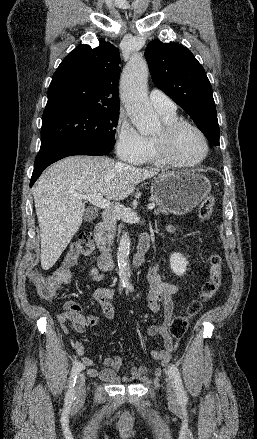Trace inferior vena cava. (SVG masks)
<instances>
[{
    "label": "inferior vena cava",
    "mask_w": 257,
    "mask_h": 439,
    "mask_svg": "<svg viewBox=\"0 0 257 439\" xmlns=\"http://www.w3.org/2000/svg\"><path fill=\"white\" fill-rule=\"evenodd\" d=\"M103 222L105 224L107 243L109 245L108 258L111 259L109 251H110V246L112 245L114 237H115L116 220L110 213L104 212L103 213Z\"/></svg>",
    "instance_id": "inferior-vena-cava-1"
}]
</instances>
